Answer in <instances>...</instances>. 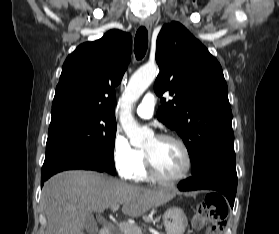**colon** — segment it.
Segmentation results:
<instances>
[{"label": "colon", "mask_w": 279, "mask_h": 234, "mask_svg": "<svg viewBox=\"0 0 279 234\" xmlns=\"http://www.w3.org/2000/svg\"><path fill=\"white\" fill-rule=\"evenodd\" d=\"M228 204L219 194L208 195L200 202L192 220L195 229H205V234H224Z\"/></svg>", "instance_id": "colon-1"}]
</instances>
